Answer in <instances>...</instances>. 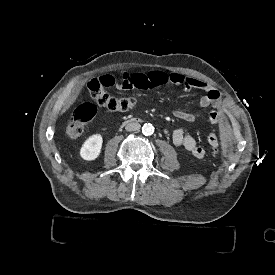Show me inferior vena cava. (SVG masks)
I'll list each match as a JSON object with an SVG mask.
<instances>
[{
  "label": "inferior vena cava",
  "instance_id": "1",
  "mask_svg": "<svg viewBox=\"0 0 275 275\" xmlns=\"http://www.w3.org/2000/svg\"><path fill=\"white\" fill-rule=\"evenodd\" d=\"M140 129V124L136 122L128 123L125 126V130L130 132V131H138Z\"/></svg>",
  "mask_w": 275,
  "mask_h": 275
}]
</instances>
